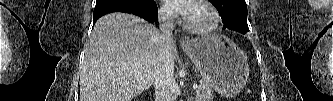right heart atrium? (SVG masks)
I'll return each instance as SVG.
<instances>
[{
  "instance_id": "right-heart-atrium-1",
  "label": "right heart atrium",
  "mask_w": 333,
  "mask_h": 101,
  "mask_svg": "<svg viewBox=\"0 0 333 101\" xmlns=\"http://www.w3.org/2000/svg\"><path fill=\"white\" fill-rule=\"evenodd\" d=\"M160 16L163 20H168L171 18L170 10L166 7L160 9Z\"/></svg>"
}]
</instances>
